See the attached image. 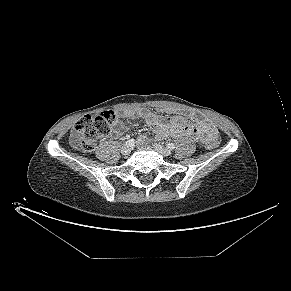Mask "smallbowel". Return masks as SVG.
I'll list each match as a JSON object with an SVG mask.
<instances>
[{"label":"small bowel","mask_w":291,"mask_h":291,"mask_svg":"<svg viewBox=\"0 0 291 291\" xmlns=\"http://www.w3.org/2000/svg\"><path fill=\"white\" fill-rule=\"evenodd\" d=\"M164 112L172 113V109H163ZM126 116L132 119H143L158 138L172 136L180 138L190 136L198 141L204 142L212 133H216L215 126L206 120L200 119L196 115L190 117L196 121L195 125L188 124L186 119L181 115H172L163 117L145 109H133L126 112ZM124 126H120L115 134L119 135ZM147 139L146 135H141L138 142L143 143Z\"/></svg>","instance_id":"1"}]
</instances>
